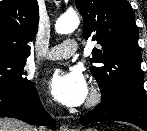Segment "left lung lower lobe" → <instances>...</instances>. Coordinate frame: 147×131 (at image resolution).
<instances>
[{
  "mask_svg": "<svg viewBox=\"0 0 147 131\" xmlns=\"http://www.w3.org/2000/svg\"><path fill=\"white\" fill-rule=\"evenodd\" d=\"M101 121L129 122L147 131V99L136 95H122L101 103L80 118L82 125Z\"/></svg>",
  "mask_w": 147,
  "mask_h": 131,
  "instance_id": "0a47b994",
  "label": "left lung lower lobe"
}]
</instances>
